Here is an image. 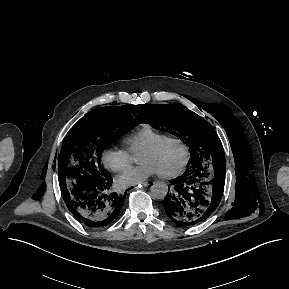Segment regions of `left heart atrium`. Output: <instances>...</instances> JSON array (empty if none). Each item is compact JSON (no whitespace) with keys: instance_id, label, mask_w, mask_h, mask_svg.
<instances>
[{"instance_id":"left-heart-atrium-1","label":"left heart atrium","mask_w":289,"mask_h":289,"mask_svg":"<svg viewBox=\"0 0 289 289\" xmlns=\"http://www.w3.org/2000/svg\"><path fill=\"white\" fill-rule=\"evenodd\" d=\"M157 173L158 171L154 166L148 163H144L125 170L117 177L116 183L119 187L126 188L129 186L141 184Z\"/></svg>"}]
</instances>
